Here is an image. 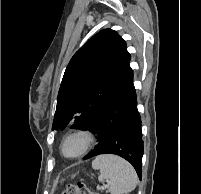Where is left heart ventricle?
<instances>
[{"label": "left heart ventricle", "mask_w": 201, "mask_h": 194, "mask_svg": "<svg viewBox=\"0 0 201 194\" xmlns=\"http://www.w3.org/2000/svg\"><path fill=\"white\" fill-rule=\"evenodd\" d=\"M83 139L80 137L68 140L64 146V152L68 155H73L79 152L83 147Z\"/></svg>", "instance_id": "obj_1"}]
</instances>
